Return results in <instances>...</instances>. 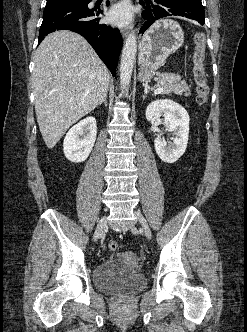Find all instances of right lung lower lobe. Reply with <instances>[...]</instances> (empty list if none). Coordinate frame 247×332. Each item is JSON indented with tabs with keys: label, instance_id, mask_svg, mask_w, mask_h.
Returning a JSON list of instances; mask_svg holds the SVG:
<instances>
[{
	"label": "right lung lower lobe",
	"instance_id": "obj_1",
	"mask_svg": "<svg viewBox=\"0 0 247 332\" xmlns=\"http://www.w3.org/2000/svg\"><path fill=\"white\" fill-rule=\"evenodd\" d=\"M85 1H59L46 4L43 22L39 31V42L56 30H71L82 35L94 48L100 59L115 76L119 54L122 49V36L117 29L100 24L93 16L102 10H90ZM109 4V2H107Z\"/></svg>",
	"mask_w": 247,
	"mask_h": 332
}]
</instances>
